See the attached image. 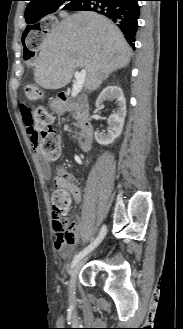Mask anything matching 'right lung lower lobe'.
I'll use <instances>...</instances> for the list:
<instances>
[{
    "label": "right lung lower lobe",
    "instance_id": "1",
    "mask_svg": "<svg viewBox=\"0 0 183 329\" xmlns=\"http://www.w3.org/2000/svg\"><path fill=\"white\" fill-rule=\"evenodd\" d=\"M139 0H79L70 11H95L110 18L119 26L128 43L134 47L138 18Z\"/></svg>",
    "mask_w": 183,
    "mask_h": 329
}]
</instances>
